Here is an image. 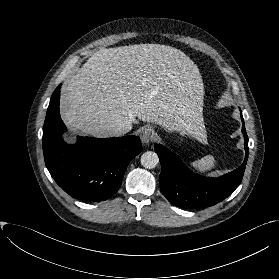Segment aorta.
<instances>
[{
    "label": "aorta",
    "mask_w": 279,
    "mask_h": 279,
    "mask_svg": "<svg viewBox=\"0 0 279 279\" xmlns=\"http://www.w3.org/2000/svg\"><path fill=\"white\" fill-rule=\"evenodd\" d=\"M158 163V155L153 151H147L141 155V164L146 169H153Z\"/></svg>",
    "instance_id": "obj_1"
}]
</instances>
